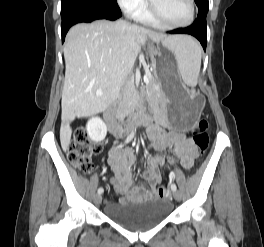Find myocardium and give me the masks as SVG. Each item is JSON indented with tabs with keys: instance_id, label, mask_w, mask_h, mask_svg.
Masks as SVG:
<instances>
[{
	"instance_id": "myocardium-1",
	"label": "myocardium",
	"mask_w": 264,
	"mask_h": 247,
	"mask_svg": "<svg viewBox=\"0 0 264 247\" xmlns=\"http://www.w3.org/2000/svg\"><path fill=\"white\" fill-rule=\"evenodd\" d=\"M189 7H190V16L189 18L182 23H170L166 21L157 11L153 0H148V13L152 17V19L160 26L169 28V29H178V28H185L190 26L195 20L196 14V7L194 0H188Z\"/></svg>"
}]
</instances>
